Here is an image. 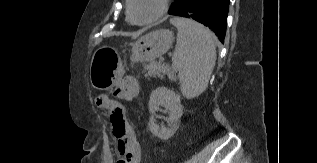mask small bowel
<instances>
[{
    "instance_id": "c3829d8e",
    "label": "small bowel",
    "mask_w": 317,
    "mask_h": 163,
    "mask_svg": "<svg viewBox=\"0 0 317 163\" xmlns=\"http://www.w3.org/2000/svg\"><path fill=\"white\" fill-rule=\"evenodd\" d=\"M115 96L119 99L132 101L139 93V86L134 78L125 77L119 80L114 89ZM116 103V101L111 100ZM116 140L118 156L115 160L112 150L109 148L104 154L105 163H140L141 148L131 126L126 125L122 133L113 130Z\"/></svg>"
}]
</instances>
